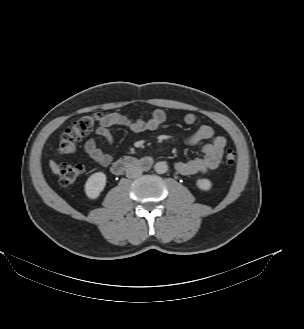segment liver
Instances as JSON below:
<instances>
[{
    "mask_svg": "<svg viewBox=\"0 0 304 329\" xmlns=\"http://www.w3.org/2000/svg\"><path fill=\"white\" fill-rule=\"evenodd\" d=\"M49 165H50V167H51L54 174H59L60 168L53 160H50Z\"/></svg>",
    "mask_w": 304,
    "mask_h": 329,
    "instance_id": "6515ba94",
    "label": "liver"
}]
</instances>
